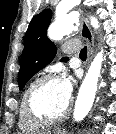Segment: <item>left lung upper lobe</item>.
I'll list each match as a JSON object with an SVG mask.
<instances>
[{"label": "left lung upper lobe", "instance_id": "obj_1", "mask_svg": "<svg viewBox=\"0 0 116 134\" xmlns=\"http://www.w3.org/2000/svg\"><path fill=\"white\" fill-rule=\"evenodd\" d=\"M51 18L52 11L45 9L35 15L29 24L25 34L24 50L18 73L20 90L24 88L32 76L48 65L56 55V46L46 35ZM62 61H67V58H63Z\"/></svg>", "mask_w": 116, "mask_h": 134}]
</instances>
